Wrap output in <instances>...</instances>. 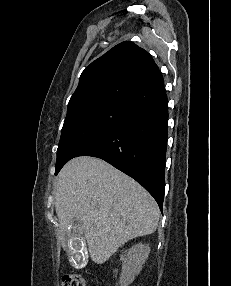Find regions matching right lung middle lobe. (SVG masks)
I'll return each instance as SVG.
<instances>
[{"label": "right lung middle lobe", "instance_id": "obj_1", "mask_svg": "<svg viewBox=\"0 0 231 286\" xmlns=\"http://www.w3.org/2000/svg\"><path fill=\"white\" fill-rule=\"evenodd\" d=\"M130 113L128 105L103 101L67 114L58 145L55 174L86 145Z\"/></svg>", "mask_w": 231, "mask_h": 286}]
</instances>
